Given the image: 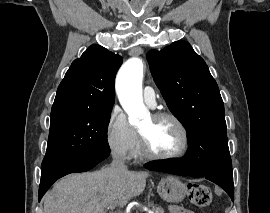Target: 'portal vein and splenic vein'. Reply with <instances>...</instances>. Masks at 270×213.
I'll return each instance as SVG.
<instances>
[{"mask_svg": "<svg viewBox=\"0 0 270 213\" xmlns=\"http://www.w3.org/2000/svg\"><path fill=\"white\" fill-rule=\"evenodd\" d=\"M115 205H116V204L113 203L111 206H108V207H109V208H114ZM151 213H153V212H151Z\"/></svg>", "mask_w": 270, "mask_h": 213, "instance_id": "portal-vein-and-splenic-vein-1", "label": "portal vein and splenic vein"}]
</instances>
